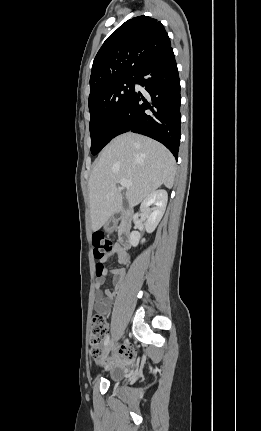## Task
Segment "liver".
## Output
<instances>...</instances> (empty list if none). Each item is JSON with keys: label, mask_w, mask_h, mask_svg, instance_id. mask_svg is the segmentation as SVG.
Listing matches in <instances>:
<instances>
[{"label": "liver", "mask_w": 261, "mask_h": 431, "mask_svg": "<svg viewBox=\"0 0 261 431\" xmlns=\"http://www.w3.org/2000/svg\"><path fill=\"white\" fill-rule=\"evenodd\" d=\"M175 174V159L159 142L131 132L114 138L98 156L88 182L92 230H99L119 210V180L132 183L126 197L136 206L161 185L171 189Z\"/></svg>", "instance_id": "obj_1"}]
</instances>
